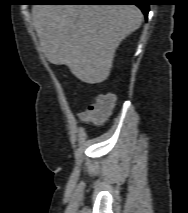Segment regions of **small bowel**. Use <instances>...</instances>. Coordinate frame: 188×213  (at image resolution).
Masks as SVG:
<instances>
[{
  "mask_svg": "<svg viewBox=\"0 0 188 213\" xmlns=\"http://www.w3.org/2000/svg\"><path fill=\"white\" fill-rule=\"evenodd\" d=\"M79 117L82 121L84 122H88L90 121V117H89V113H88V110H84L82 111L80 114H79Z\"/></svg>",
  "mask_w": 188,
  "mask_h": 213,
  "instance_id": "small-bowel-1",
  "label": "small bowel"
}]
</instances>
